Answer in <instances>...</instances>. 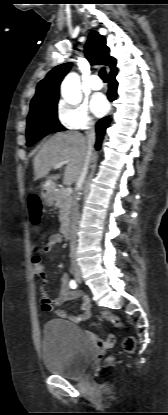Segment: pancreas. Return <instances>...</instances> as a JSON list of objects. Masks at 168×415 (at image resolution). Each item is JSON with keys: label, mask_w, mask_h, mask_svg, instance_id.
<instances>
[{"label": "pancreas", "mask_w": 168, "mask_h": 415, "mask_svg": "<svg viewBox=\"0 0 168 415\" xmlns=\"http://www.w3.org/2000/svg\"><path fill=\"white\" fill-rule=\"evenodd\" d=\"M55 201L56 206L59 208L60 223H67L71 212L72 196L66 194L65 190H59L55 193Z\"/></svg>", "instance_id": "pancreas-1"}]
</instances>
